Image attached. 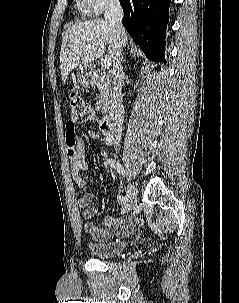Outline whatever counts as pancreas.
Instances as JSON below:
<instances>
[{"label": "pancreas", "instance_id": "1", "mask_svg": "<svg viewBox=\"0 0 239 303\" xmlns=\"http://www.w3.org/2000/svg\"><path fill=\"white\" fill-rule=\"evenodd\" d=\"M93 82L99 90V105L103 114H108L112 109V87L107 75L101 71L94 72Z\"/></svg>", "mask_w": 239, "mask_h": 303}]
</instances>
